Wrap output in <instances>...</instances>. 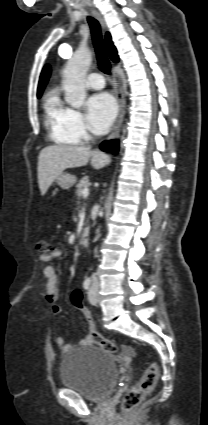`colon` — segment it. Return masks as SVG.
<instances>
[{
    "label": "colon",
    "mask_w": 208,
    "mask_h": 425,
    "mask_svg": "<svg viewBox=\"0 0 208 425\" xmlns=\"http://www.w3.org/2000/svg\"><path fill=\"white\" fill-rule=\"evenodd\" d=\"M36 248L40 254L50 255L54 252L53 246L45 239L39 240L37 242ZM70 300L72 306L84 314L91 341L109 353H117V344L113 340L106 338L97 331L94 321L85 311L83 306L82 292L78 289L73 290L70 296ZM158 376V365L156 362L151 361L148 364L142 378L125 394L121 402V410L123 413H131L140 404L142 399L153 391L156 386Z\"/></svg>",
    "instance_id": "1"
}]
</instances>
